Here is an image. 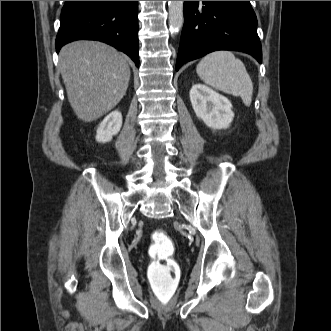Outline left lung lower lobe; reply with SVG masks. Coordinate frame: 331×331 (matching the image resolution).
<instances>
[{"label": "left lung lower lobe", "mask_w": 331, "mask_h": 331, "mask_svg": "<svg viewBox=\"0 0 331 331\" xmlns=\"http://www.w3.org/2000/svg\"><path fill=\"white\" fill-rule=\"evenodd\" d=\"M176 71L216 50L241 51L262 62L257 19L250 1H184Z\"/></svg>", "instance_id": "1"}]
</instances>
